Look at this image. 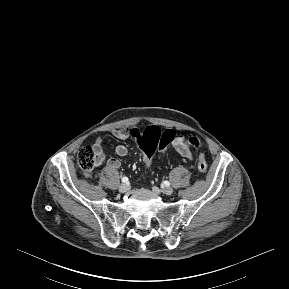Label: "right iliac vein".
<instances>
[{
	"instance_id": "right-iliac-vein-1",
	"label": "right iliac vein",
	"mask_w": 289,
	"mask_h": 289,
	"mask_svg": "<svg viewBox=\"0 0 289 289\" xmlns=\"http://www.w3.org/2000/svg\"><path fill=\"white\" fill-rule=\"evenodd\" d=\"M129 190V186L127 185V184H125V183H123V184H121L120 186H119V192H121V193H125V192H127Z\"/></svg>"
}]
</instances>
